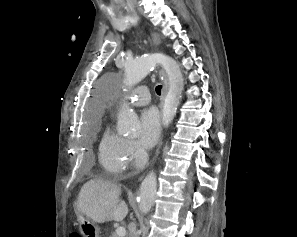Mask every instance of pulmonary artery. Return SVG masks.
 Listing matches in <instances>:
<instances>
[{
  "label": "pulmonary artery",
  "instance_id": "pulmonary-artery-1",
  "mask_svg": "<svg viewBox=\"0 0 297 237\" xmlns=\"http://www.w3.org/2000/svg\"><path fill=\"white\" fill-rule=\"evenodd\" d=\"M150 102L149 89L147 87L136 88L131 97V103L136 106L146 105Z\"/></svg>",
  "mask_w": 297,
  "mask_h": 237
}]
</instances>
